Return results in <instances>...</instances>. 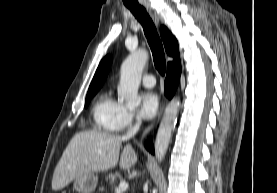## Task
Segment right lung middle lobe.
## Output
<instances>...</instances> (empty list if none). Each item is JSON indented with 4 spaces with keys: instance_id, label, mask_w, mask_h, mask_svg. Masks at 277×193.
I'll list each match as a JSON object with an SVG mask.
<instances>
[{
    "instance_id": "obj_1",
    "label": "right lung middle lobe",
    "mask_w": 277,
    "mask_h": 193,
    "mask_svg": "<svg viewBox=\"0 0 277 193\" xmlns=\"http://www.w3.org/2000/svg\"><path fill=\"white\" fill-rule=\"evenodd\" d=\"M95 93H96V92L87 94V96H86V101H85V107L88 106V104H89L91 98L95 95Z\"/></svg>"
}]
</instances>
